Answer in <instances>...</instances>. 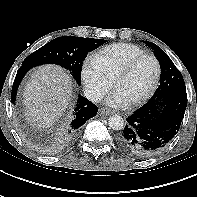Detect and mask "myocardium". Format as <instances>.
<instances>
[{
	"label": "myocardium",
	"instance_id": "1",
	"mask_svg": "<svg viewBox=\"0 0 197 197\" xmlns=\"http://www.w3.org/2000/svg\"><path fill=\"white\" fill-rule=\"evenodd\" d=\"M146 59H150L154 62L155 67H156V74H155V78L153 80L152 85L150 86V88L147 90L146 93H144L142 96L127 102L128 106H136L139 104L144 103L145 101H147L156 91L158 84H159V80H160V75H161V65L159 60L157 59V57H155L154 55L151 54H143L140 55L136 58H134L132 61H130L127 65H125L123 68H121L118 73L115 75L114 77V85L116 86L117 82L123 78L128 76L129 74H131L133 72V70L137 67V65L142 62L143 60Z\"/></svg>",
	"mask_w": 197,
	"mask_h": 197
}]
</instances>
